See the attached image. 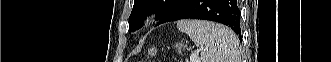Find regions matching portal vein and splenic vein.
I'll list each match as a JSON object with an SVG mask.
<instances>
[{"label":"portal vein and splenic vein","mask_w":331,"mask_h":62,"mask_svg":"<svg viewBox=\"0 0 331 62\" xmlns=\"http://www.w3.org/2000/svg\"><path fill=\"white\" fill-rule=\"evenodd\" d=\"M199 50L197 52H195V54H192L190 57V62H195V60L197 59Z\"/></svg>","instance_id":"1"}]
</instances>
